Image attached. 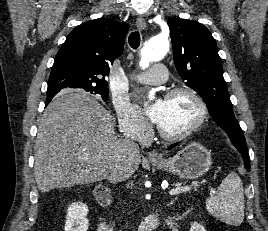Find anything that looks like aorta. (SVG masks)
<instances>
[{"label": "aorta", "mask_w": 268, "mask_h": 231, "mask_svg": "<svg viewBox=\"0 0 268 231\" xmlns=\"http://www.w3.org/2000/svg\"><path fill=\"white\" fill-rule=\"evenodd\" d=\"M169 51V41L166 38L154 37L148 41L141 49L140 67L146 69L150 62L162 60ZM150 98L154 97V93H150Z\"/></svg>", "instance_id": "1"}]
</instances>
